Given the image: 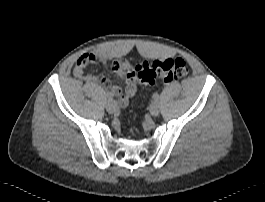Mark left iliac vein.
Returning <instances> with one entry per match:
<instances>
[{"label": "left iliac vein", "instance_id": "left-iliac-vein-1", "mask_svg": "<svg viewBox=\"0 0 265 202\" xmlns=\"http://www.w3.org/2000/svg\"><path fill=\"white\" fill-rule=\"evenodd\" d=\"M150 113L152 116H158L159 114V104L157 102H153L150 105Z\"/></svg>", "mask_w": 265, "mask_h": 202}]
</instances>
